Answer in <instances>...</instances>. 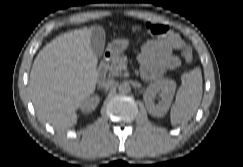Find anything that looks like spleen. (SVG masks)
I'll return each instance as SVG.
<instances>
[{
  "label": "spleen",
  "mask_w": 243,
  "mask_h": 167,
  "mask_svg": "<svg viewBox=\"0 0 243 167\" xmlns=\"http://www.w3.org/2000/svg\"><path fill=\"white\" fill-rule=\"evenodd\" d=\"M181 86L171 107L172 125L187 123L197 111L202 99V73L199 67L181 76Z\"/></svg>",
  "instance_id": "3e777b00"
}]
</instances>
